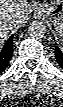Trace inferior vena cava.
<instances>
[{"label":"inferior vena cava","mask_w":63,"mask_h":107,"mask_svg":"<svg viewBox=\"0 0 63 107\" xmlns=\"http://www.w3.org/2000/svg\"><path fill=\"white\" fill-rule=\"evenodd\" d=\"M2 24L9 26V27H13L16 23V17L15 16H9L8 18L4 19L1 21Z\"/></svg>","instance_id":"602c4592"}]
</instances>
